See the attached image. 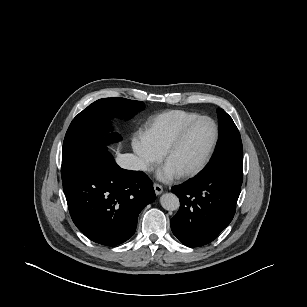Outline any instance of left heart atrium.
Masks as SVG:
<instances>
[{
    "mask_svg": "<svg viewBox=\"0 0 307 307\" xmlns=\"http://www.w3.org/2000/svg\"><path fill=\"white\" fill-rule=\"evenodd\" d=\"M179 174L173 170L168 165H165L164 168L159 173V178L162 180H170L177 177Z\"/></svg>",
    "mask_w": 307,
    "mask_h": 307,
    "instance_id": "1",
    "label": "left heart atrium"
}]
</instances>
